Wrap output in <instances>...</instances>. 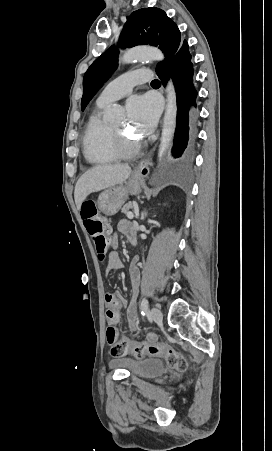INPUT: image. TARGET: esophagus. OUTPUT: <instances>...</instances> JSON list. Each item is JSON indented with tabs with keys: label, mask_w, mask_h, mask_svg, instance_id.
<instances>
[{
	"label": "esophagus",
	"mask_w": 272,
	"mask_h": 451,
	"mask_svg": "<svg viewBox=\"0 0 272 451\" xmlns=\"http://www.w3.org/2000/svg\"><path fill=\"white\" fill-rule=\"evenodd\" d=\"M150 162V158H146L144 160H141L139 164L135 167V172L138 175V177H145L149 173L148 164Z\"/></svg>",
	"instance_id": "34e87169"
}]
</instances>
